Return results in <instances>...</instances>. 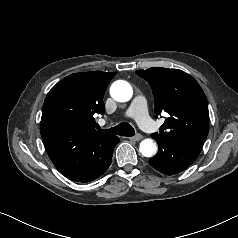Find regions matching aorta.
<instances>
[{"mask_svg":"<svg viewBox=\"0 0 238 238\" xmlns=\"http://www.w3.org/2000/svg\"><path fill=\"white\" fill-rule=\"evenodd\" d=\"M112 98L118 102H127L132 98L133 89L124 80L115 81L110 87ZM140 153L145 157H152L157 151V146L152 139H144L140 142Z\"/></svg>","mask_w":238,"mask_h":238,"instance_id":"aorta-1","label":"aorta"}]
</instances>
